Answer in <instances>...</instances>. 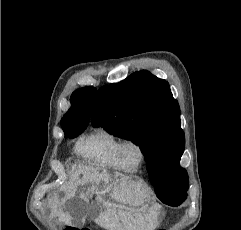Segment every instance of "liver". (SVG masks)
<instances>
[{"label":"liver","instance_id":"1","mask_svg":"<svg viewBox=\"0 0 241 230\" xmlns=\"http://www.w3.org/2000/svg\"><path fill=\"white\" fill-rule=\"evenodd\" d=\"M114 180L117 182L109 184ZM89 182L92 184L90 193L96 194L95 200L104 207L94 219L100 227L107 230H154L158 226L157 212L146 205L150 200L146 188L127 176H111L106 169L93 166H78L72 171L71 181L62 187L65 197L61 200L53 197L50 200L54 214L65 224L72 225V216L68 212L64 213L66 201L77 194L79 185L83 186ZM105 191H110L109 198L119 204L106 202ZM78 196L87 206V212H90L92 208L86 193L82 191Z\"/></svg>","mask_w":241,"mask_h":230}]
</instances>
